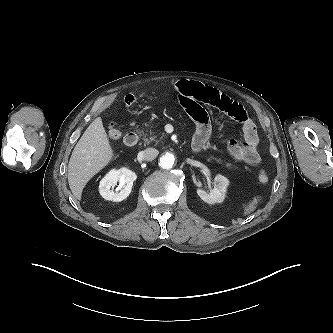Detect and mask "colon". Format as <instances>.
<instances>
[{"mask_svg":"<svg viewBox=\"0 0 333 333\" xmlns=\"http://www.w3.org/2000/svg\"><path fill=\"white\" fill-rule=\"evenodd\" d=\"M138 98H139V96L135 95V94L127 95L124 100L125 105L128 107L134 105L137 102ZM108 135L112 139H118L121 137V132L114 123L109 124ZM258 180L260 183L265 184L269 181V177L267 176V174L265 172H260L258 175Z\"/></svg>","mask_w":333,"mask_h":333,"instance_id":"obj_1","label":"colon"}]
</instances>
